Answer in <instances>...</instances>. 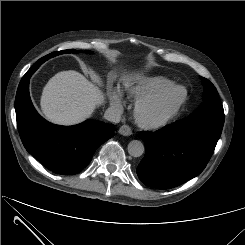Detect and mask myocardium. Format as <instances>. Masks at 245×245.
I'll use <instances>...</instances> for the list:
<instances>
[{"mask_svg":"<svg viewBox=\"0 0 245 245\" xmlns=\"http://www.w3.org/2000/svg\"><path fill=\"white\" fill-rule=\"evenodd\" d=\"M172 98V104L158 117H150L149 112ZM188 98V92L182 85H170L161 92L144 97L137 101L134 108L135 120L145 129H159L173 121L183 109Z\"/></svg>","mask_w":245,"mask_h":245,"instance_id":"obj_1","label":"myocardium"}]
</instances>
